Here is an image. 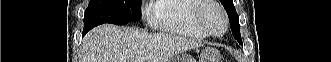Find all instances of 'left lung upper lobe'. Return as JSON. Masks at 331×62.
Segmentation results:
<instances>
[{"label": "left lung upper lobe", "mask_w": 331, "mask_h": 62, "mask_svg": "<svg viewBox=\"0 0 331 62\" xmlns=\"http://www.w3.org/2000/svg\"><path fill=\"white\" fill-rule=\"evenodd\" d=\"M220 2L224 6V8L228 14L229 21H230V28H231V30H233L232 31L233 35L240 34L239 16L234 7L233 0H220Z\"/></svg>", "instance_id": "1"}]
</instances>
